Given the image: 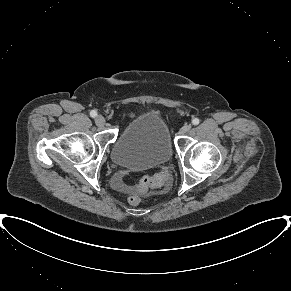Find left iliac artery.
<instances>
[{
    "mask_svg": "<svg viewBox=\"0 0 291 291\" xmlns=\"http://www.w3.org/2000/svg\"><path fill=\"white\" fill-rule=\"evenodd\" d=\"M199 122H200V120H199L198 118H194V119L192 120V124H193V125H198Z\"/></svg>",
    "mask_w": 291,
    "mask_h": 291,
    "instance_id": "left-iliac-artery-1",
    "label": "left iliac artery"
}]
</instances>
